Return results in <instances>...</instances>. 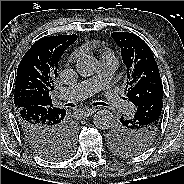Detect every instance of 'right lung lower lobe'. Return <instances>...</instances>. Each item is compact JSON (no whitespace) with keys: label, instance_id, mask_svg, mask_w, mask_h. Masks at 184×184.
Returning <instances> with one entry per match:
<instances>
[{"label":"right lung lower lobe","instance_id":"98d812e1","mask_svg":"<svg viewBox=\"0 0 184 184\" xmlns=\"http://www.w3.org/2000/svg\"><path fill=\"white\" fill-rule=\"evenodd\" d=\"M66 111L53 106L31 105L16 111L20 130L38 153L61 144L68 130Z\"/></svg>","mask_w":184,"mask_h":184}]
</instances>
